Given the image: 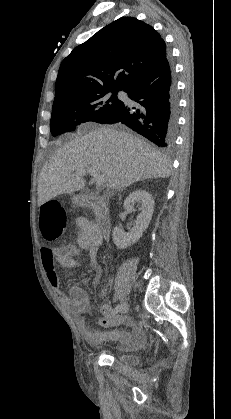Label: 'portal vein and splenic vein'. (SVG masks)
Listing matches in <instances>:
<instances>
[{"label":"portal vein and splenic vein","instance_id":"portal-vein-and-splenic-vein-1","mask_svg":"<svg viewBox=\"0 0 231 419\" xmlns=\"http://www.w3.org/2000/svg\"><path fill=\"white\" fill-rule=\"evenodd\" d=\"M86 173L90 174L93 177L94 181L96 182V184L98 186H101V185L104 184V182H105V176L102 175V174H100V173H98L94 169L77 170L76 171V175H83V174H86Z\"/></svg>","mask_w":231,"mask_h":419}]
</instances>
